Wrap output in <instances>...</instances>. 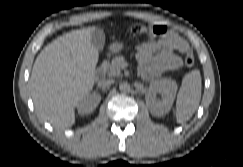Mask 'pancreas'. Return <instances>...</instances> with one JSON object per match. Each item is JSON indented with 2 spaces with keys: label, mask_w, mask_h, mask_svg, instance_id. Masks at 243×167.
<instances>
[{
  "label": "pancreas",
  "mask_w": 243,
  "mask_h": 167,
  "mask_svg": "<svg viewBox=\"0 0 243 167\" xmlns=\"http://www.w3.org/2000/svg\"><path fill=\"white\" fill-rule=\"evenodd\" d=\"M125 63V59L123 56H117L112 59L111 62H105L103 64L104 69L107 72L109 77H115L121 75L122 65Z\"/></svg>",
  "instance_id": "cf45deb5"
}]
</instances>
